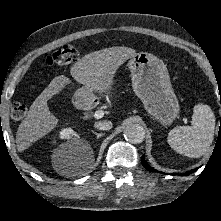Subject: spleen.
<instances>
[{"mask_svg":"<svg viewBox=\"0 0 221 221\" xmlns=\"http://www.w3.org/2000/svg\"><path fill=\"white\" fill-rule=\"evenodd\" d=\"M215 116L206 104L193 109L192 126H177L168 134V143L176 152L191 158L204 155L214 139Z\"/></svg>","mask_w":221,"mask_h":221,"instance_id":"spleen-1","label":"spleen"}]
</instances>
